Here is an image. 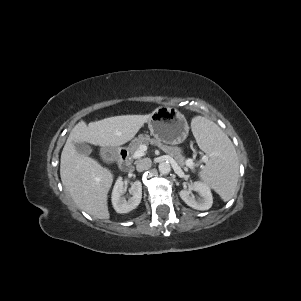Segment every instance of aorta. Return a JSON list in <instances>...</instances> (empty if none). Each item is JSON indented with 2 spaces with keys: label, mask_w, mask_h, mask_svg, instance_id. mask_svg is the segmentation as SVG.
Returning a JSON list of instances; mask_svg holds the SVG:
<instances>
[{
  "label": "aorta",
  "mask_w": 301,
  "mask_h": 301,
  "mask_svg": "<svg viewBox=\"0 0 301 301\" xmlns=\"http://www.w3.org/2000/svg\"><path fill=\"white\" fill-rule=\"evenodd\" d=\"M159 172L163 175H167L171 171V165L168 162H161L158 166Z\"/></svg>",
  "instance_id": "762f6f07"
}]
</instances>
